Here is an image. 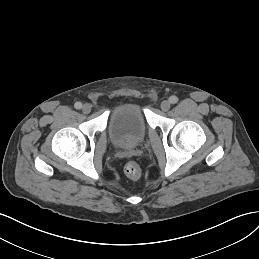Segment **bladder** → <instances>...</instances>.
Wrapping results in <instances>:
<instances>
[{
    "label": "bladder",
    "instance_id": "1",
    "mask_svg": "<svg viewBox=\"0 0 259 259\" xmlns=\"http://www.w3.org/2000/svg\"><path fill=\"white\" fill-rule=\"evenodd\" d=\"M109 137L118 147L140 144L147 134V122L141 105L124 101L113 107L109 116Z\"/></svg>",
    "mask_w": 259,
    "mask_h": 259
}]
</instances>
